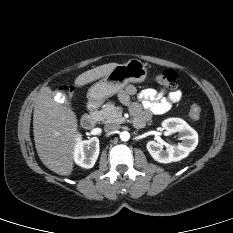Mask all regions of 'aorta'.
I'll list each match as a JSON object with an SVG mask.
<instances>
[{
    "label": "aorta",
    "instance_id": "aorta-1",
    "mask_svg": "<svg viewBox=\"0 0 233 233\" xmlns=\"http://www.w3.org/2000/svg\"><path fill=\"white\" fill-rule=\"evenodd\" d=\"M120 139L122 141H128L130 139V134L127 131H123L120 133Z\"/></svg>",
    "mask_w": 233,
    "mask_h": 233
}]
</instances>
